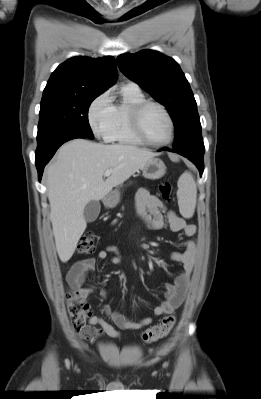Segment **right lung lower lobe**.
<instances>
[{
	"label": "right lung lower lobe",
	"instance_id": "1",
	"mask_svg": "<svg viewBox=\"0 0 261 399\" xmlns=\"http://www.w3.org/2000/svg\"><path fill=\"white\" fill-rule=\"evenodd\" d=\"M88 137L93 139L94 137L87 136L81 132L62 129L55 131L42 139L37 140L38 147L36 150V167L38 170L39 181L41 180L43 170L45 165L53 157L57 149L65 142L75 139V138H85Z\"/></svg>",
	"mask_w": 261,
	"mask_h": 399
}]
</instances>
